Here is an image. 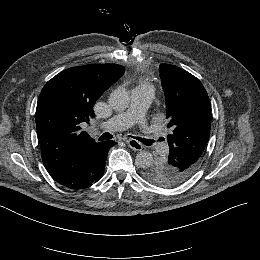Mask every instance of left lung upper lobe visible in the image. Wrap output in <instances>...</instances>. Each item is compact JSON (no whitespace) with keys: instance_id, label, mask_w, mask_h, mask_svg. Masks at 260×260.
I'll return each mask as SVG.
<instances>
[{"instance_id":"left-lung-upper-lobe-1","label":"left lung upper lobe","mask_w":260,"mask_h":260,"mask_svg":"<svg viewBox=\"0 0 260 260\" xmlns=\"http://www.w3.org/2000/svg\"><path fill=\"white\" fill-rule=\"evenodd\" d=\"M166 97L170 154L168 160L144 170L149 182L175 186L187 180L198 168L211 127V106L202 83L189 72L173 65L159 67Z\"/></svg>"}]
</instances>
